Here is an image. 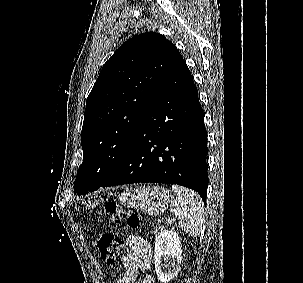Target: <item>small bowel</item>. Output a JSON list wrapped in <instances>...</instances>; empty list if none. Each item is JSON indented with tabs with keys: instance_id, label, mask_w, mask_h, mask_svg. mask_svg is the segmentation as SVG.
<instances>
[{
	"instance_id": "c3829d8e",
	"label": "small bowel",
	"mask_w": 303,
	"mask_h": 283,
	"mask_svg": "<svg viewBox=\"0 0 303 283\" xmlns=\"http://www.w3.org/2000/svg\"><path fill=\"white\" fill-rule=\"evenodd\" d=\"M129 246L121 260L118 271L123 272L117 283H155L154 279L146 276L139 279V271L147 269L152 259L150 244L141 237L129 236L127 238Z\"/></svg>"
}]
</instances>
